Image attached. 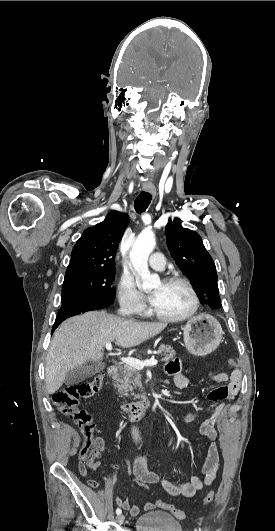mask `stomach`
<instances>
[{
  "label": "stomach",
  "instance_id": "obj_1",
  "mask_svg": "<svg viewBox=\"0 0 275 531\" xmlns=\"http://www.w3.org/2000/svg\"><path fill=\"white\" fill-rule=\"evenodd\" d=\"M185 347L192 355H209L219 347L223 331L219 321L210 315H197L187 321L183 329Z\"/></svg>",
  "mask_w": 275,
  "mask_h": 531
}]
</instances>
